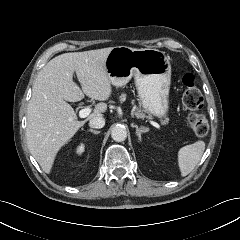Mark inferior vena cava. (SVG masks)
I'll use <instances>...</instances> for the list:
<instances>
[{"instance_id": "obj_1", "label": "inferior vena cava", "mask_w": 240, "mask_h": 240, "mask_svg": "<svg viewBox=\"0 0 240 240\" xmlns=\"http://www.w3.org/2000/svg\"><path fill=\"white\" fill-rule=\"evenodd\" d=\"M104 125H105V119L101 115L94 116L89 121V126L91 128L100 129L104 127Z\"/></svg>"}]
</instances>
